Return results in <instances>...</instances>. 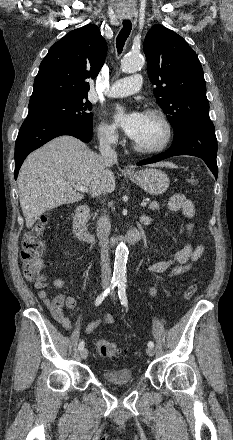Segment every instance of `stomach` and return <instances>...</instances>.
<instances>
[{
	"mask_svg": "<svg viewBox=\"0 0 233 440\" xmlns=\"http://www.w3.org/2000/svg\"><path fill=\"white\" fill-rule=\"evenodd\" d=\"M129 179L150 195H161L169 187L170 180L160 169L146 168L135 174H128Z\"/></svg>",
	"mask_w": 233,
	"mask_h": 440,
	"instance_id": "1",
	"label": "stomach"
}]
</instances>
